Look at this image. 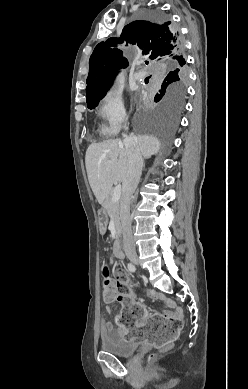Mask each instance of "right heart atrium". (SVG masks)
Returning <instances> with one entry per match:
<instances>
[{"label": "right heart atrium", "mask_w": 248, "mask_h": 389, "mask_svg": "<svg viewBox=\"0 0 248 389\" xmlns=\"http://www.w3.org/2000/svg\"><path fill=\"white\" fill-rule=\"evenodd\" d=\"M98 113L103 121L102 130L105 134H117L126 124L127 113L123 98L115 91L103 96L98 107Z\"/></svg>", "instance_id": "d8ad5b80"}]
</instances>
